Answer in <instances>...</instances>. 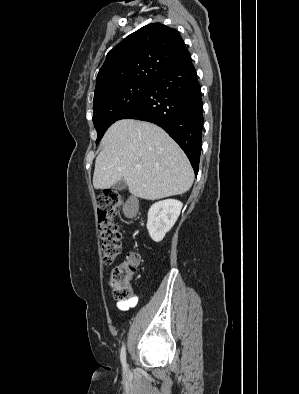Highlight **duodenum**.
<instances>
[{
	"instance_id": "duodenum-1",
	"label": "duodenum",
	"mask_w": 299,
	"mask_h": 394,
	"mask_svg": "<svg viewBox=\"0 0 299 394\" xmlns=\"http://www.w3.org/2000/svg\"><path fill=\"white\" fill-rule=\"evenodd\" d=\"M137 210V203L135 199H132L127 206V212L130 216L134 215Z\"/></svg>"
}]
</instances>
